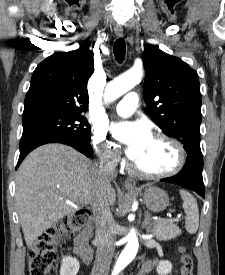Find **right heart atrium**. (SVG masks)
Wrapping results in <instances>:
<instances>
[{
  "label": "right heart atrium",
  "mask_w": 225,
  "mask_h": 275,
  "mask_svg": "<svg viewBox=\"0 0 225 275\" xmlns=\"http://www.w3.org/2000/svg\"><path fill=\"white\" fill-rule=\"evenodd\" d=\"M92 144L106 164L118 165L121 162V158L118 152L112 146V143L108 140L106 132L101 128H95L92 132Z\"/></svg>",
  "instance_id": "d8ad5b80"
}]
</instances>
